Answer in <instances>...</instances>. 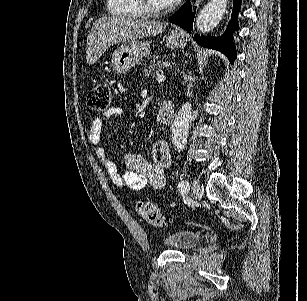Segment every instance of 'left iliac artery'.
<instances>
[{
	"instance_id": "left-iliac-artery-1",
	"label": "left iliac artery",
	"mask_w": 307,
	"mask_h": 301,
	"mask_svg": "<svg viewBox=\"0 0 307 301\" xmlns=\"http://www.w3.org/2000/svg\"><path fill=\"white\" fill-rule=\"evenodd\" d=\"M189 182L186 180H182L179 184H178V188L180 189L181 192H186L187 190H189Z\"/></svg>"
}]
</instances>
